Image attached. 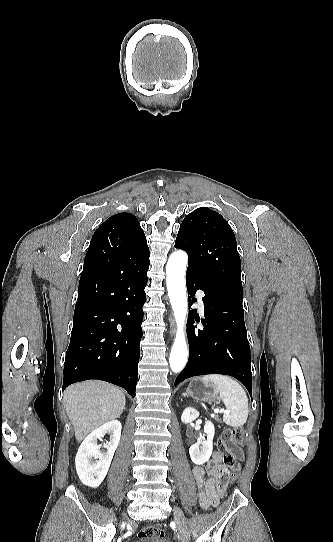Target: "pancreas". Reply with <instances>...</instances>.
<instances>
[{
  "instance_id": "pancreas-1",
  "label": "pancreas",
  "mask_w": 333,
  "mask_h": 542,
  "mask_svg": "<svg viewBox=\"0 0 333 542\" xmlns=\"http://www.w3.org/2000/svg\"><path fill=\"white\" fill-rule=\"evenodd\" d=\"M214 420H216V422H221L219 416H213Z\"/></svg>"
}]
</instances>
